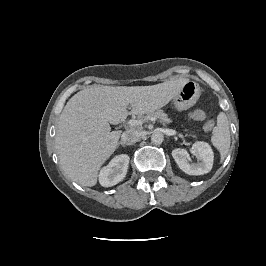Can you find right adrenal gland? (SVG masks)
I'll return each mask as SVG.
<instances>
[{
  "label": "right adrenal gland",
  "mask_w": 266,
  "mask_h": 266,
  "mask_svg": "<svg viewBox=\"0 0 266 266\" xmlns=\"http://www.w3.org/2000/svg\"><path fill=\"white\" fill-rule=\"evenodd\" d=\"M120 145H121L122 147H126L122 142H119V143H118V147H119Z\"/></svg>",
  "instance_id": "1"
}]
</instances>
